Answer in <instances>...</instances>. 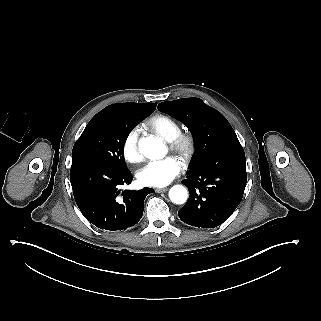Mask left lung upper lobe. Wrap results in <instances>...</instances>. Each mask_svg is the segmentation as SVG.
<instances>
[{
	"label": "left lung upper lobe",
	"instance_id": "obj_1",
	"mask_svg": "<svg viewBox=\"0 0 321 321\" xmlns=\"http://www.w3.org/2000/svg\"><path fill=\"white\" fill-rule=\"evenodd\" d=\"M158 110L180 120L191 131L196 155L190 170L219 151L241 146L226 118L198 98L162 102Z\"/></svg>",
	"mask_w": 321,
	"mask_h": 321
}]
</instances>
